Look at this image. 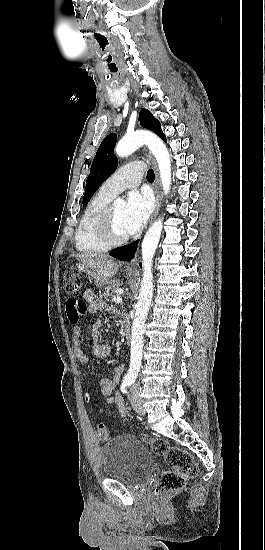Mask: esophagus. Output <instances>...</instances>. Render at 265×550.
<instances>
[{"label": "esophagus", "instance_id": "1", "mask_svg": "<svg viewBox=\"0 0 265 550\" xmlns=\"http://www.w3.org/2000/svg\"><path fill=\"white\" fill-rule=\"evenodd\" d=\"M143 153L145 156L152 162L154 170H155V195H156V207L155 211L153 213V216L151 218V222H153L159 212L160 205H161V196H160V187H159V174H158V168L155 160L153 159L152 155L148 152L146 148L143 149ZM137 265V257L135 256L134 259H132L130 262L126 264V267L129 269H134Z\"/></svg>", "mask_w": 265, "mask_h": 550}]
</instances>
